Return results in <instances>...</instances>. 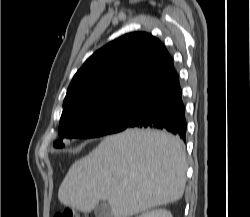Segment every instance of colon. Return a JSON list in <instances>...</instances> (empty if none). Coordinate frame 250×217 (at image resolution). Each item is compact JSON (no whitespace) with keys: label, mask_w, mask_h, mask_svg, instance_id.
<instances>
[{"label":"colon","mask_w":250,"mask_h":217,"mask_svg":"<svg viewBox=\"0 0 250 217\" xmlns=\"http://www.w3.org/2000/svg\"><path fill=\"white\" fill-rule=\"evenodd\" d=\"M54 217H86V216L79 214L73 208H66L62 212L55 214Z\"/></svg>","instance_id":"5ec220e1"}]
</instances>
